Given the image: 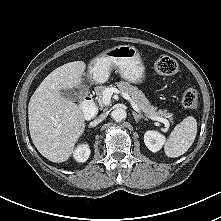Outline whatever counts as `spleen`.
Returning <instances> with one entry per match:
<instances>
[{
  "label": "spleen",
  "instance_id": "spleen-1",
  "mask_svg": "<svg viewBox=\"0 0 221 221\" xmlns=\"http://www.w3.org/2000/svg\"><path fill=\"white\" fill-rule=\"evenodd\" d=\"M197 134V121L188 116L177 124L165 143L164 151L168 157L183 155L193 144Z\"/></svg>",
  "mask_w": 221,
  "mask_h": 221
}]
</instances>
